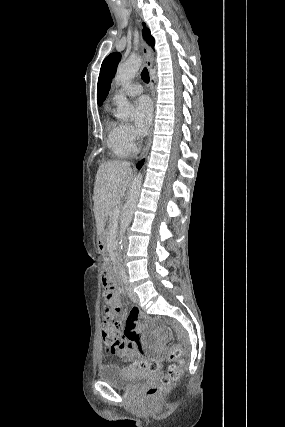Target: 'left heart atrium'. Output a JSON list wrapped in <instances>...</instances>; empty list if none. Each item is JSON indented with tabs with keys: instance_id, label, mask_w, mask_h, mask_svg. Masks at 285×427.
Instances as JSON below:
<instances>
[{
	"instance_id": "obj_1",
	"label": "left heart atrium",
	"mask_w": 285,
	"mask_h": 427,
	"mask_svg": "<svg viewBox=\"0 0 285 427\" xmlns=\"http://www.w3.org/2000/svg\"><path fill=\"white\" fill-rule=\"evenodd\" d=\"M153 118V107L146 97L139 98L134 104V121L139 134L148 132Z\"/></svg>"
}]
</instances>
